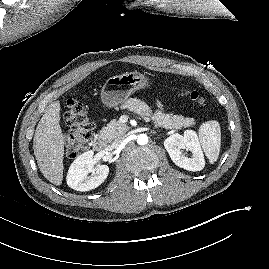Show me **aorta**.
Wrapping results in <instances>:
<instances>
[{"instance_id":"762f6f07","label":"aorta","mask_w":269,"mask_h":269,"mask_svg":"<svg viewBox=\"0 0 269 269\" xmlns=\"http://www.w3.org/2000/svg\"><path fill=\"white\" fill-rule=\"evenodd\" d=\"M137 143L139 145H146L148 143V136L146 134H140L137 137Z\"/></svg>"}]
</instances>
